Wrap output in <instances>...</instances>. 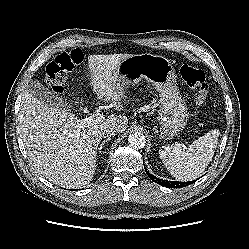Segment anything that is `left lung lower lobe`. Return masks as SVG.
Returning a JSON list of instances; mask_svg holds the SVG:
<instances>
[{"label": "left lung lower lobe", "instance_id": "0a47b994", "mask_svg": "<svg viewBox=\"0 0 249 249\" xmlns=\"http://www.w3.org/2000/svg\"><path fill=\"white\" fill-rule=\"evenodd\" d=\"M145 167V165H144ZM145 171L147 173V175L149 176V178L156 182L157 184H160L162 186H166V187H169V188H182V187H185V186H188L190 185L191 183H194V181H190V182H178V181H167V180H161L159 178H156L155 176H153L152 174H150L146 168H145Z\"/></svg>", "mask_w": 249, "mask_h": 249}]
</instances>
